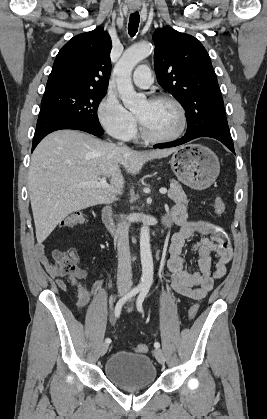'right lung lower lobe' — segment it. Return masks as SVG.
<instances>
[{
	"label": "right lung lower lobe",
	"instance_id": "1",
	"mask_svg": "<svg viewBox=\"0 0 267 419\" xmlns=\"http://www.w3.org/2000/svg\"><path fill=\"white\" fill-rule=\"evenodd\" d=\"M61 129L81 130L96 136H101L104 133L101 125L94 126L83 123L55 110L41 108L33 138L32 151L46 135Z\"/></svg>",
	"mask_w": 267,
	"mask_h": 419
}]
</instances>
